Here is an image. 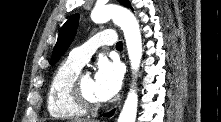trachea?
Wrapping results in <instances>:
<instances>
[{"instance_id": "trachea-1", "label": "trachea", "mask_w": 221, "mask_h": 122, "mask_svg": "<svg viewBox=\"0 0 221 122\" xmlns=\"http://www.w3.org/2000/svg\"><path fill=\"white\" fill-rule=\"evenodd\" d=\"M122 47H123L122 41H119V42L116 44V48H117V49H122Z\"/></svg>"}]
</instances>
